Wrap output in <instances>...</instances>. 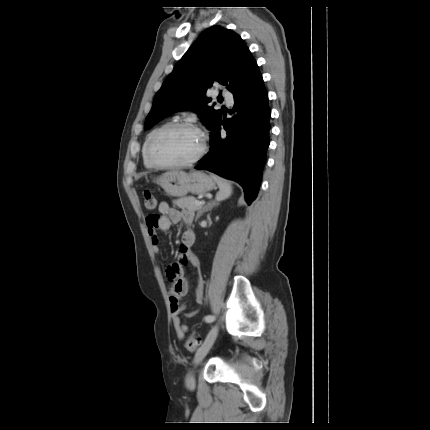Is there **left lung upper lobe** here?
<instances>
[{
	"mask_svg": "<svg viewBox=\"0 0 430 430\" xmlns=\"http://www.w3.org/2000/svg\"><path fill=\"white\" fill-rule=\"evenodd\" d=\"M258 70L255 59L237 33L221 26L208 28L176 63L156 93L145 128L185 109L196 112L209 127L221 111L208 105L211 99L206 95L207 89L219 82L233 93L242 79L251 78Z\"/></svg>",
	"mask_w": 430,
	"mask_h": 430,
	"instance_id": "1",
	"label": "left lung upper lobe"
}]
</instances>
